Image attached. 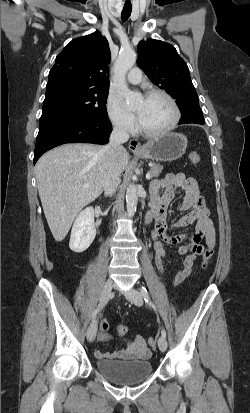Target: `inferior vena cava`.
<instances>
[{
    "label": "inferior vena cava",
    "mask_w": 250,
    "mask_h": 413,
    "mask_svg": "<svg viewBox=\"0 0 250 413\" xmlns=\"http://www.w3.org/2000/svg\"><path fill=\"white\" fill-rule=\"evenodd\" d=\"M129 134L121 124H115L109 138V144L106 146L105 152L107 156V173L104 184L106 196H112L120 184V172L115 166V160L123 148L122 144L127 142Z\"/></svg>",
    "instance_id": "inferior-vena-cava-1"
}]
</instances>
